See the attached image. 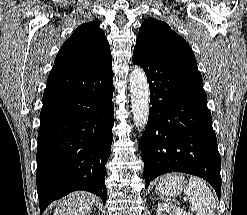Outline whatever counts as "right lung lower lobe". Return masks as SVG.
Returning a JSON list of instances; mask_svg holds the SVG:
<instances>
[{
    "mask_svg": "<svg viewBox=\"0 0 247 215\" xmlns=\"http://www.w3.org/2000/svg\"><path fill=\"white\" fill-rule=\"evenodd\" d=\"M112 57L86 70L54 66L43 94L38 131L40 212L70 192L85 190L105 204V164L114 125Z\"/></svg>",
    "mask_w": 247,
    "mask_h": 215,
    "instance_id": "right-lung-lower-lobe-1",
    "label": "right lung lower lobe"
}]
</instances>
